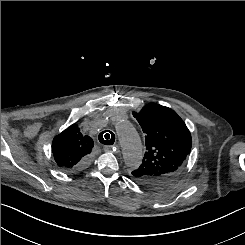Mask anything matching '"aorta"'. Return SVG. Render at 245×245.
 <instances>
[{
    "label": "aorta",
    "instance_id": "762f6f07",
    "mask_svg": "<svg viewBox=\"0 0 245 245\" xmlns=\"http://www.w3.org/2000/svg\"><path fill=\"white\" fill-rule=\"evenodd\" d=\"M116 132L125 164L132 169L138 168L142 161L143 152L141 140L135 127L129 121L122 120L117 123Z\"/></svg>",
    "mask_w": 245,
    "mask_h": 245
}]
</instances>
